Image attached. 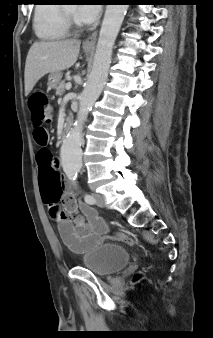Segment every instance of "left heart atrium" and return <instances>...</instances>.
Listing matches in <instances>:
<instances>
[{"label":"left heart atrium","instance_id":"39dd6f15","mask_svg":"<svg viewBox=\"0 0 213 338\" xmlns=\"http://www.w3.org/2000/svg\"><path fill=\"white\" fill-rule=\"evenodd\" d=\"M100 14H101V5H80L76 13V18L78 21L82 23L92 24L98 20Z\"/></svg>","mask_w":213,"mask_h":338}]
</instances>
